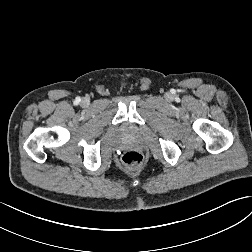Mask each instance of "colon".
<instances>
[{
	"instance_id": "obj_1",
	"label": "colon",
	"mask_w": 252,
	"mask_h": 252,
	"mask_svg": "<svg viewBox=\"0 0 252 252\" xmlns=\"http://www.w3.org/2000/svg\"><path fill=\"white\" fill-rule=\"evenodd\" d=\"M122 163L132 169L138 168L143 162V157L136 151H128L122 156Z\"/></svg>"
}]
</instances>
